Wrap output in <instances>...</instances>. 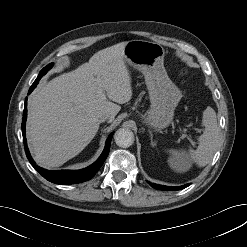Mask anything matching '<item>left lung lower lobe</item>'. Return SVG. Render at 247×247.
Returning a JSON list of instances; mask_svg holds the SVG:
<instances>
[{"instance_id":"obj_1","label":"left lung lower lobe","mask_w":247,"mask_h":247,"mask_svg":"<svg viewBox=\"0 0 247 247\" xmlns=\"http://www.w3.org/2000/svg\"><path fill=\"white\" fill-rule=\"evenodd\" d=\"M151 187L157 189V190H163V191H174V190H180V189H183L187 186H189V184H186V185H183V186H179V187H169V186H162V185H158V184H154V183H150Z\"/></svg>"}]
</instances>
